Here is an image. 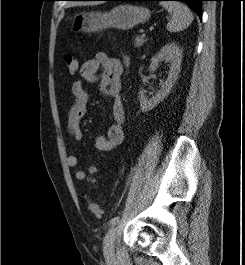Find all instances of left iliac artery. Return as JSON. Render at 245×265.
Instances as JSON below:
<instances>
[{
    "label": "left iliac artery",
    "mask_w": 245,
    "mask_h": 265,
    "mask_svg": "<svg viewBox=\"0 0 245 265\" xmlns=\"http://www.w3.org/2000/svg\"><path fill=\"white\" fill-rule=\"evenodd\" d=\"M118 220H119V217L118 216H116V217H113L111 220H110V225H114V224H116V222H118Z\"/></svg>",
    "instance_id": "left-iliac-artery-1"
}]
</instances>
